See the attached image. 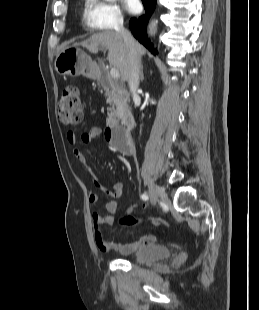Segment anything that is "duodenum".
<instances>
[{"label":"duodenum","instance_id":"410a0bca","mask_svg":"<svg viewBox=\"0 0 259 310\" xmlns=\"http://www.w3.org/2000/svg\"><path fill=\"white\" fill-rule=\"evenodd\" d=\"M95 76L107 93L116 97L118 100H124L129 94L124 89L116 85L105 73L103 66L95 65ZM134 126L133 117L125 110L121 117L120 125H109L105 130V136L108 141L122 154H131L133 147L131 143V133Z\"/></svg>","mask_w":259,"mask_h":310}]
</instances>
